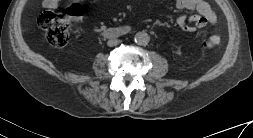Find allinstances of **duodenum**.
I'll use <instances>...</instances> for the list:
<instances>
[{"label":"duodenum","mask_w":253,"mask_h":138,"mask_svg":"<svg viewBox=\"0 0 253 138\" xmlns=\"http://www.w3.org/2000/svg\"><path fill=\"white\" fill-rule=\"evenodd\" d=\"M129 31V29L125 26L116 27V28H108L102 32L103 35L110 38H117L123 36Z\"/></svg>","instance_id":"obj_1"}]
</instances>
